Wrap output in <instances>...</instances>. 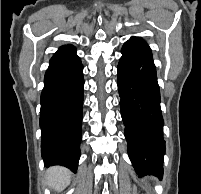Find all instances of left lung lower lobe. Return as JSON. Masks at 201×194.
<instances>
[{
    "label": "left lung lower lobe",
    "mask_w": 201,
    "mask_h": 194,
    "mask_svg": "<svg viewBox=\"0 0 201 194\" xmlns=\"http://www.w3.org/2000/svg\"><path fill=\"white\" fill-rule=\"evenodd\" d=\"M119 60L118 90L128 154L137 174L163 176L164 120L156 67L148 44L129 39Z\"/></svg>",
    "instance_id": "left-lung-lower-lobe-1"
}]
</instances>
